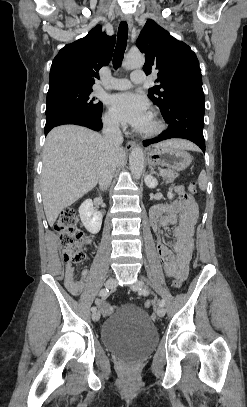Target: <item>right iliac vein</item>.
Masks as SVG:
<instances>
[{
	"label": "right iliac vein",
	"instance_id": "obj_1",
	"mask_svg": "<svg viewBox=\"0 0 247 407\" xmlns=\"http://www.w3.org/2000/svg\"><path fill=\"white\" fill-rule=\"evenodd\" d=\"M116 285H117V281H116V279H115L114 277L108 278V279L106 280V282H105V286L108 287V288H111V289L114 288V287H116ZM99 318H100V313H99V311L93 312V314H92V319H93V321H98Z\"/></svg>",
	"mask_w": 247,
	"mask_h": 407
}]
</instances>
